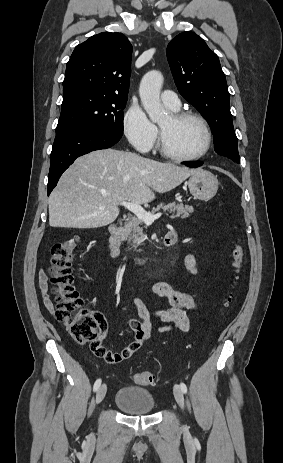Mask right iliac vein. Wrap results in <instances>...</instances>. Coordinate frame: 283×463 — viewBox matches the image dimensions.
I'll return each mask as SVG.
<instances>
[{
	"label": "right iliac vein",
	"instance_id": "right-iliac-vein-1",
	"mask_svg": "<svg viewBox=\"0 0 283 463\" xmlns=\"http://www.w3.org/2000/svg\"><path fill=\"white\" fill-rule=\"evenodd\" d=\"M106 391H107V386L106 384H102L98 390H97V393H96V403L99 404L100 402H102V400L104 399L105 395H106Z\"/></svg>",
	"mask_w": 283,
	"mask_h": 463
}]
</instances>
